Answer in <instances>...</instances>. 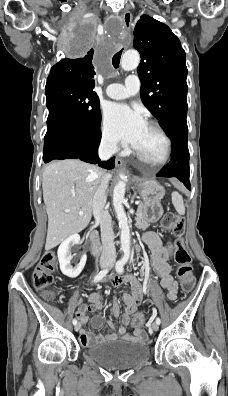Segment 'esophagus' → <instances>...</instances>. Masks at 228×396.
Returning <instances> with one entry per match:
<instances>
[{
    "label": "esophagus",
    "instance_id": "1",
    "mask_svg": "<svg viewBox=\"0 0 228 396\" xmlns=\"http://www.w3.org/2000/svg\"><path fill=\"white\" fill-rule=\"evenodd\" d=\"M123 22L126 28H129L132 21V13L129 10L124 11L122 14ZM116 166L122 167L124 165V161L121 158H116Z\"/></svg>",
    "mask_w": 228,
    "mask_h": 396
}]
</instances>
